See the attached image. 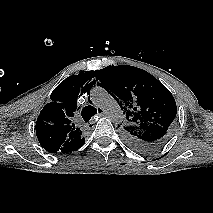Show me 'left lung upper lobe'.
Here are the masks:
<instances>
[{
	"mask_svg": "<svg viewBox=\"0 0 213 213\" xmlns=\"http://www.w3.org/2000/svg\"><path fill=\"white\" fill-rule=\"evenodd\" d=\"M100 86L118 101L126 122V143L141 152L159 149L175 130L176 102L170 91L147 71L129 65L97 71ZM119 127V125H118Z\"/></svg>",
	"mask_w": 213,
	"mask_h": 213,
	"instance_id": "1",
	"label": "left lung upper lobe"
}]
</instances>
